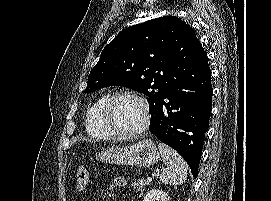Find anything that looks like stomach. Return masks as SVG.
Segmentation results:
<instances>
[{
    "mask_svg": "<svg viewBox=\"0 0 271 201\" xmlns=\"http://www.w3.org/2000/svg\"><path fill=\"white\" fill-rule=\"evenodd\" d=\"M97 160L115 165L149 167L160 159V153L151 140H141L127 146H112L96 154Z\"/></svg>",
    "mask_w": 271,
    "mask_h": 201,
    "instance_id": "obj_1",
    "label": "stomach"
}]
</instances>
